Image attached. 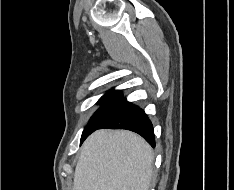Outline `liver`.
<instances>
[{
	"mask_svg": "<svg viewBox=\"0 0 234 190\" xmlns=\"http://www.w3.org/2000/svg\"><path fill=\"white\" fill-rule=\"evenodd\" d=\"M150 145L127 130H98L84 142L73 190H148L153 171Z\"/></svg>",
	"mask_w": 234,
	"mask_h": 190,
	"instance_id": "6515ba94",
	"label": "liver"
}]
</instances>
